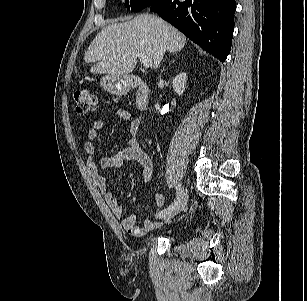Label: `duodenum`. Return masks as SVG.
I'll return each instance as SVG.
<instances>
[{
  "label": "duodenum",
  "instance_id": "obj_1",
  "mask_svg": "<svg viewBox=\"0 0 307 301\" xmlns=\"http://www.w3.org/2000/svg\"><path fill=\"white\" fill-rule=\"evenodd\" d=\"M131 87L136 91V106L139 110L145 111L149 107V87L139 77H134L131 80Z\"/></svg>",
  "mask_w": 307,
  "mask_h": 301
}]
</instances>
